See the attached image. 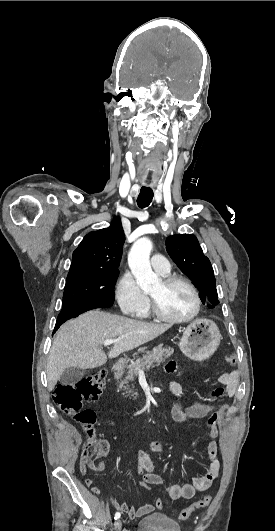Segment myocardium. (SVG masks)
Masks as SVG:
<instances>
[{
	"instance_id": "myocardium-1",
	"label": "myocardium",
	"mask_w": 275,
	"mask_h": 531,
	"mask_svg": "<svg viewBox=\"0 0 275 531\" xmlns=\"http://www.w3.org/2000/svg\"><path fill=\"white\" fill-rule=\"evenodd\" d=\"M162 282L165 284V285H170V284H173V283H182L184 284L192 293L193 295V298H194V309L193 311L188 314L187 316H184V317H181V318H174V317H170L166 314H164L158 304H157V301L156 299L151 295V301H152V309H153V312L155 314V316L164 321V322H167V323H170V324H184V323H188L189 321L193 320L200 312L201 310V298H200V295H199V292L197 290V288L194 286V284L189 280L187 279L186 277L184 276H179V275H165L162 277Z\"/></svg>"
}]
</instances>
